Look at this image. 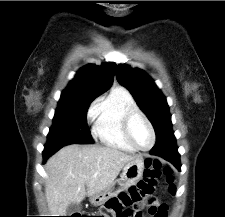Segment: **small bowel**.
Instances as JSON below:
<instances>
[{
  "label": "small bowel",
  "instance_id": "c3829d8e",
  "mask_svg": "<svg viewBox=\"0 0 225 217\" xmlns=\"http://www.w3.org/2000/svg\"><path fill=\"white\" fill-rule=\"evenodd\" d=\"M147 204H148L149 208L159 206L158 201L154 198L148 199ZM134 207H135L136 210L140 211V208L142 207V203H137V204H135ZM120 217H129V216H126V214H122Z\"/></svg>",
  "mask_w": 225,
  "mask_h": 217
}]
</instances>
